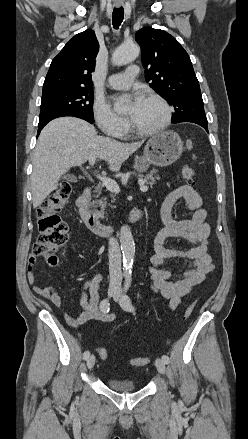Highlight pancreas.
I'll use <instances>...</instances> for the list:
<instances>
[{"instance_id":"cf45deb5","label":"pancreas","mask_w":248,"mask_h":439,"mask_svg":"<svg viewBox=\"0 0 248 439\" xmlns=\"http://www.w3.org/2000/svg\"><path fill=\"white\" fill-rule=\"evenodd\" d=\"M156 173V170H152L150 173H148L146 176L143 175H139V178L142 179L141 181H143L144 183H148L151 186L154 185L156 183V180L159 179L158 176H154ZM103 188V184H100L96 187L95 192L97 193L96 197H99L101 190ZM107 198H101L99 200H97L98 204L102 207L105 208L107 205ZM113 202V201H112Z\"/></svg>"}]
</instances>
